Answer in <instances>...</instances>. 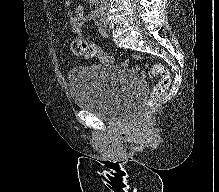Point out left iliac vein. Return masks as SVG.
Instances as JSON below:
<instances>
[{"label":"left iliac vein","instance_id":"obj_1","mask_svg":"<svg viewBox=\"0 0 219 192\" xmlns=\"http://www.w3.org/2000/svg\"><path fill=\"white\" fill-rule=\"evenodd\" d=\"M100 23L104 26L107 27L110 25L109 19H108V15H107V11L105 10L103 12V15L100 17Z\"/></svg>","mask_w":219,"mask_h":192}]
</instances>
